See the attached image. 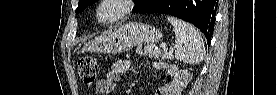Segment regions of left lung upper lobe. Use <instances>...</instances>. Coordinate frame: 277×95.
<instances>
[{
  "instance_id": "1",
  "label": "left lung upper lobe",
  "mask_w": 277,
  "mask_h": 95,
  "mask_svg": "<svg viewBox=\"0 0 277 95\" xmlns=\"http://www.w3.org/2000/svg\"><path fill=\"white\" fill-rule=\"evenodd\" d=\"M96 0H79L78 8L76 9V14L80 13L81 11L85 10L87 6L95 2ZM149 0H135L136 5L133 8V12H136L141 7L144 6Z\"/></svg>"
}]
</instances>
